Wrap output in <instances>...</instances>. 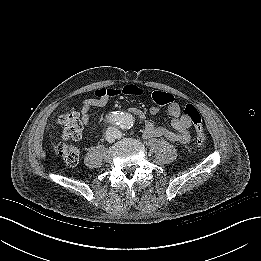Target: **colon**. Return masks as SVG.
Listing matches in <instances>:
<instances>
[{
  "mask_svg": "<svg viewBox=\"0 0 261 261\" xmlns=\"http://www.w3.org/2000/svg\"><path fill=\"white\" fill-rule=\"evenodd\" d=\"M142 94L141 88L130 84L122 88H101L95 92L97 97H114L119 95L138 96ZM152 99L158 105H166L174 100L172 94L163 91H154ZM184 114L191 120L196 131V145L201 147L205 143V133L203 129L202 117L198 109L192 105L187 104L184 109ZM59 122L63 126L62 136L65 140H77L81 137L83 131V122L81 117L74 108L66 109L59 116ZM58 155L68 165H76L79 160L80 150L77 146L60 143L57 146Z\"/></svg>",
  "mask_w": 261,
  "mask_h": 261,
  "instance_id": "obj_1",
  "label": "colon"
}]
</instances>
